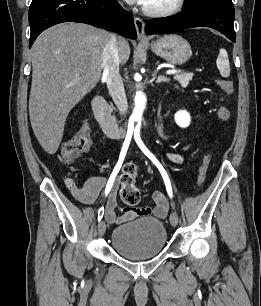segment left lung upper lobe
Returning a JSON list of instances; mask_svg holds the SVG:
<instances>
[{
	"label": "left lung upper lobe",
	"instance_id": "5c2ea615",
	"mask_svg": "<svg viewBox=\"0 0 261 306\" xmlns=\"http://www.w3.org/2000/svg\"><path fill=\"white\" fill-rule=\"evenodd\" d=\"M207 1H224V0H185V5L184 7H191L196 4L202 3V2H207Z\"/></svg>",
	"mask_w": 261,
	"mask_h": 306
}]
</instances>
